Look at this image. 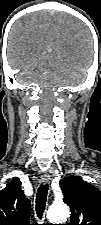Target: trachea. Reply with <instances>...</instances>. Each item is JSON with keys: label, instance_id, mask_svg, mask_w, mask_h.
<instances>
[{"label": "trachea", "instance_id": "1", "mask_svg": "<svg viewBox=\"0 0 101 225\" xmlns=\"http://www.w3.org/2000/svg\"><path fill=\"white\" fill-rule=\"evenodd\" d=\"M49 186L47 184H41L36 194V213L39 219H42L43 212L46 206L47 194Z\"/></svg>", "mask_w": 101, "mask_h": 225}]
</instances>
